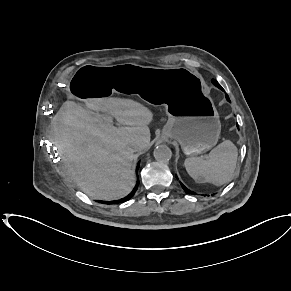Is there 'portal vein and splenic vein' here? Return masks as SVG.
I'll list each match as a JSON object with an SVG mask.
<instances>
[{
  "instance_id": "obj_1",
  "label": "portal vein and splenic vein",
  "mask_w": 291,
  "mask_h": 291,
  "mask_svg": "<svg viewBox=\"0 0 291 291\" xmlns=\"http://www.w3.org/2000/svg\"><path fill=\"white\" fill-rule=\"evenodd\" d=\"M107 122H111L112 121V119H111V117H106V118H104Z\"/></svg>"
}]
</instances>
